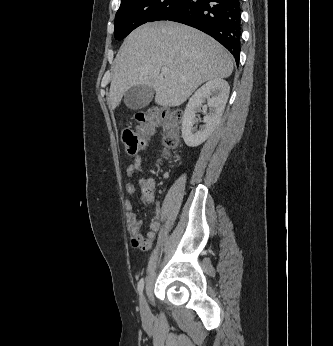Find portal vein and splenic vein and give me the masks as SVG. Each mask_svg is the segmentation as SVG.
<instances>
[{"label":"portal vein and splenic vein","mask_w":333,"mask_h":346,"mask_svg":"<svg viewBox=\"0 0 333 346\" xmlns=\"http://www.w3.org/2000/svg\"><path fill=\"white\" fill-rule=\"evenodd\" d=\"M168 73H169V69H168V68H162V69H161V74H162L163 76H166Z\"/></svg>","instance_id":"obj_1"}]
</instances>
